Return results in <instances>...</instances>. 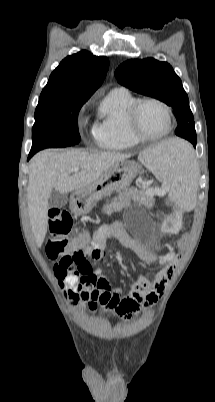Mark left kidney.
Instances as JSON below:
<instances>
[{"label":"left kidney","mask_w":215,"mask_h":402,"mask_svg":"<svg viewBox=\"0 0 215 402\" xmlns=\"http://www.w3.org/2000/svg\"><path fill=\"white\" fill-rule=\"evenodd\" d=\"M165 228L166 229H172L171 233L173 235H176L178 233V230H180V225H178L177 221H175V220H166L165 221Z\"/></svg>","instance_id":"left-kidney-1"}]
</instances>
